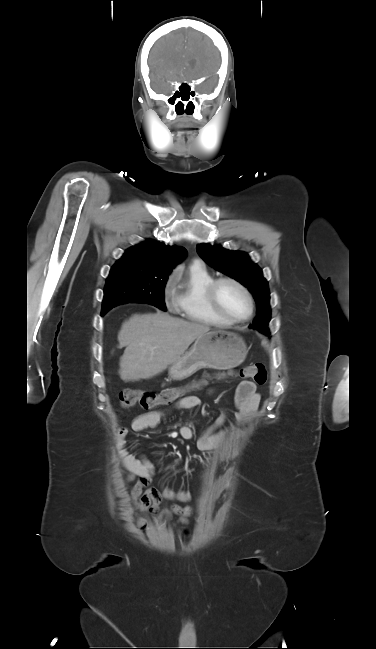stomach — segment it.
Here are the masks:
<instances>
[{"mask_svg": "<svg viewBox=\"0 0 376 649\" xmlns=\"http://www.w3.org/2000/svg\"><path fill=\"white\" fill-rule=\"evenodd\" d=\"M244 340L228 331H208L200 335L191 349L174 361L169 375L184 380L203 368L228 370L240 365L247 356Z\"/></svg>", "mask_w": 376, "mask_h": 649, "instance_id": "0dacf381", "label": "stomach"}]
</instances>
